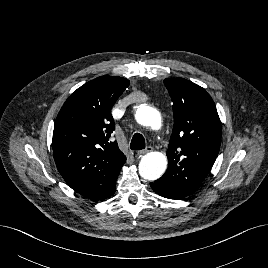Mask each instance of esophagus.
Instances as JSON below:
<instances>
[{
    "mask_svg": "<svg viewBox=\"0 0 268 268\" xmlns=\"http://www.w3.org/2000/svg\"><path fill=\"white\" fill-rule=\"evenodd\" d=\"M152 147L151 146H148V147H146L144 150H140L139 152H138V155H140V156H142V155H144V154H147V153H149L150 151H152Z\"/></svg>",
    "mask_w": 268,
    "mask_h": 268,
    "instance_id": "1",
    "label": "esophagus"
}]
</instances>
